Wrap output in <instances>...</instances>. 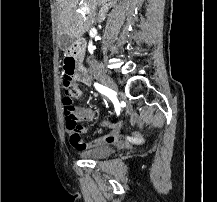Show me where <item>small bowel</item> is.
<instances>
[{"mask_svg":"<svg viewBox=\"0 0 217 202\" xmlns=\"http://www.w3.org/2000/svg\"><path fill=\"white\" fill-rule=\"evenodd\" d=\"M60 90H75L73 98L80 99L83 95L77 84L73 85H60ZM127 113L131 116L132 120H135L136 113L132 107H128ZM75 115L78 121L87 122L91 121L95 116V109L92 106H76ZM83 131H71V141H84L86 129L82 127ZM121 124L119 122L111 125V132L101 138H97L92 142H70V147H85V149L94 148L104 143H115L121 148H126L131 144H142L145 142L144 134L145 129L134 132L127 136L120 135Z\"/></svg>","mask_w":217,"mask_h":202,"instance_id":"c3829d8e","label":"small bowel"}]
</instances>
